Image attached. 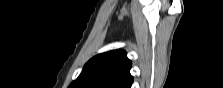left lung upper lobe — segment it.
<instances>
[{"label":"left lung upper lobe","instance_id":"obj_1","mask_svg":"<svg viewBox=\"0 0 223 88\" xmlns=\"http://www.w3.org/2000/svg\"><path fill=\"white\" fill-rule=\"evenodd\" d=\"M132 64L124 50H113L90 59L69 88H131Z\"/></svg>","mask_w":223,"mask_h":88}]
</instances>
